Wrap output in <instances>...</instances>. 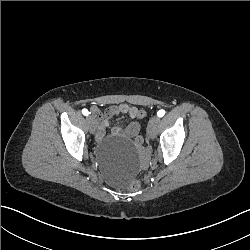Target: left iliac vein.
Returning a JSON list of instances; mask_svg holds the SVG:
<instances>
[{
	"label": "left iliac vein",
	"mask_w": 250,
	"mask_h": 250,
	"mask_svg": "<svg viewBox=\"0 0 250 250\" xmlns=\"http://www.w3.org/2000/svg\"><path fill=\"white\" fill-rule=\"evenodd\" d=\"M159 123H160V118L158 116H152L150 118L148 122L147 133L151 139L155 138Z\"/></svg>",
	"instance_id": "1"
}]
</instances>
